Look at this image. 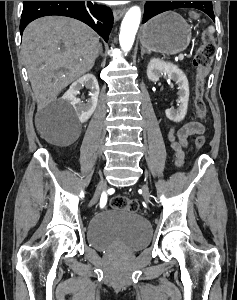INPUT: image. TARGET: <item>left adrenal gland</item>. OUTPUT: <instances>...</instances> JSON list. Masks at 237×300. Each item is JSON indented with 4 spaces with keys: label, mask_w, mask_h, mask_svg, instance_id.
<instances>
[{
    "label": "left adrenal gland",
    "mask_w": 237,
    "mask_h": 300,
    "mask_svg": "<svg viewBox=\"0 0 237 300\" xmlns=\"http://www.w3.org/2000/svg\"><path fill=\"white\" fill-rule=\"evenodd\" d=\"M145 53H147V51H145L144 47H141V59H143Z\"/></svg>",
    "instance_id": "left-adrenal-gland-1"
}]
</instances>
